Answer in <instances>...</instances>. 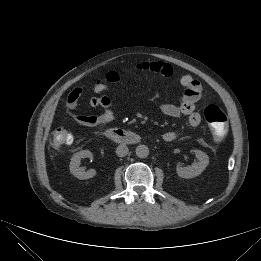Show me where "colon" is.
Wrapping results in <instances>:
<instances>
[{
	"instance_id": "colon-1",
	"label": "colon",
	"mask_w": 261,
	"mask_h": 261,
	"mask_svg": "<svg viewBox=\"0 0 261 261\" xmlns=\"http://www.w3.org/2000/svg\"><path fill=\"white\" fill-rule=\"evenodd\" d=\"M119 78V73L115 71L109 72L106 75V80L109 82H116ZM204 116L214 139L221 140L228 128L227 117L224 112L216 105H208L204 110ZM51 142L55 148H60L72 142V135L67 129L57 127L53 130Z\"/></svg>"
}]
</instances>
